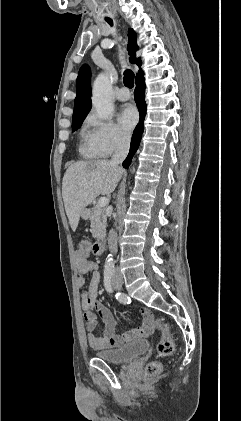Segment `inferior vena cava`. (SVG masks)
I'll use <instances>...</instances> for the list:
<instances>
[{"label": "inferior vena cava", "instance_id": "602c4592", "mask_svg": "<svg viewBox=\"0 0 241 421\" xmlns=\"http://www.w3.org/2000/svg\"><path fill=\"white\" fill-rule=\"evenodd\" d=\"M130 148V136L121 135L117 142V148L110 160V163L114 166L122 164L124 159L127 157ZM108 246L111 253H117V234L111 229L108 234ZM115 277H121V273L117 268L115 270Z\"/></svg>", "mask_w": 241, "mask_h": 421}]
</instances>
